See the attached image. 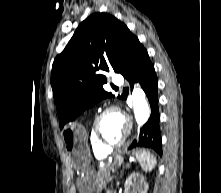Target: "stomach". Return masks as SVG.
<instances>
[{"label": "stomach", "instance_id": "1", "mask_svg": "<svg viewBox=\"0 0 221 193\" xmlns=\"http://www.w3.org/2000/svg\"><path fill=\"white\" fill-rule=\"evenodd\" d=\"M64 141V152H69L70 158L74 159L73 167L80 172L82 184L79 186L81 193H90L94 190L93 182L101 179V174H96V167H91L90 150L88 147L87 133L83 125L77 122H68L64 125V133L61 134Z\"/></svg>", "mask_w": 221, "mask_h": 193}]
</instances>
